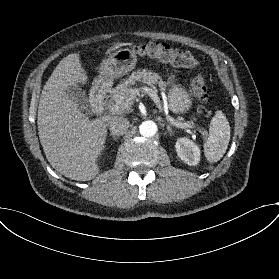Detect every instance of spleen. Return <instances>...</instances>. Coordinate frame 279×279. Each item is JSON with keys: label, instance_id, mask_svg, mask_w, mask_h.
Wrapping results in <instances>:
<instances>
[{"label": "spleen", "instance_id": "3e777b00", "mask_svg": "<svg viewBox=\"0 0 279 279\" xmlns=\"http://www.w3.org/2000/svg\"><path fill=\"white\" fill-rule=\"evenodd\" d=\"M230 134L229 122L221 111H217L209 124V135L203 149L210 163H217L224 156Z\"/></svg>", "mask_w": 279, "mask_h": 279}]
</instances>
